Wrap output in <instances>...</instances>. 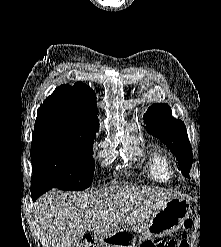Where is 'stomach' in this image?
I'll return each mask as SVG.
<instances>
[{
    "label": "stomach",
    "mask_w": 221,
    "mask_h": 247,
    "mask_svg": "<svg viewBox=\"0 0 221 247\" xmlns=\"http://www.w3.org/2000/svg\"><path fill=\"white\" fill-rule=\"evenodd\" d=\"M190 213V202L175 197L155 212L149 220L109 232H98L96 239L100 247H140L147 239L162 237L178 230Z\"/></svg>",
    "instance_id": "0dacf381"
}]
</instances>
